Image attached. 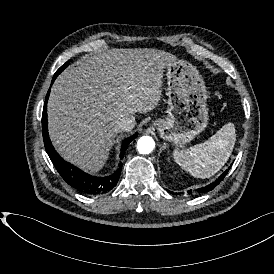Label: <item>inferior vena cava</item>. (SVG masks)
Wrapping results in <instances>:
<instances>
[{"label":"inferior vena cava","instance_id":"1","mask_svg":"<svg viewBox=\"0 0 274 274\" xmlns=\"http://www.w3.org/2000/svg\"><path fill=\"white\" fill-rule=\"evenodd\" d=\"M134 126H135L134 117L130 115H126L116 121L113 127V130L115 133H120L123 131H129L133 129Z\"/></svg>","mask_w":274,"mask_h":274}]
</instances>
